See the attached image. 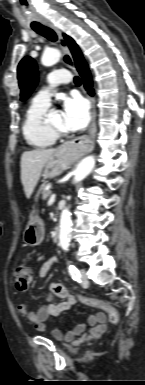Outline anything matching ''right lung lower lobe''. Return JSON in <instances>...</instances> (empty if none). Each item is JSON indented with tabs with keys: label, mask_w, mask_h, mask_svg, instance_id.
I'll return each mask as SVG.
<instances>
[{
	"label": "right lung lower lobe",
	"mask_w": 145,
	"mask_h": 385,
	"mask_svg": "<svg viewBox=\"0 0 145 385\" xmlns=\"http://www.w3.org/2000/svg\"><path fill=\"white\" fill-rule=\"evenodd\" d=\"M77 70L83 78L85 89L90 95H93L92 79L86 63L77 68Z\"/></svg>",
	"instance_id": "obj_1"
}]
</instances>
